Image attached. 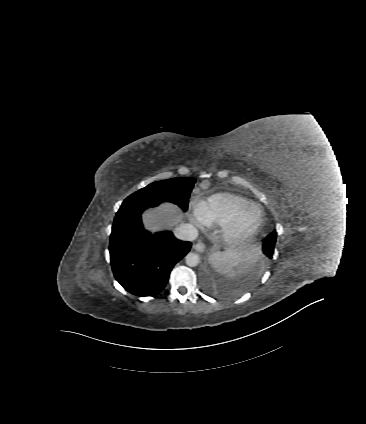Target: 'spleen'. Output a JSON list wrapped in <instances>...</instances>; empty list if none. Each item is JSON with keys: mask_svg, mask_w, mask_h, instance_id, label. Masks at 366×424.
<instances>
[{"mask_svg": "<svg viewBox=\"0 0 366 424\" xmlns=\"http://www.w3.org/2000/svg\"><path fill=\"white\" fill-rule=\"evenodd\" d=\"M257 259V251L254 247H247L241 250L225 251L211 257V264L216 270L229 277H234L237 273H244L249 264ZM237 268V271L234 269Z\"/></svg>", "mask_w": 366, "mask_h": 424, "instance_id": "3e777b00", "label": "spleen"}]
</instances>
